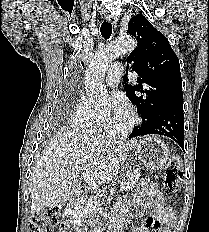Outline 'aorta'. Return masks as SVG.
Segmentation results:
<instances>
[{
  "label": "aorta",
  "instance_id": "aorta-1",
  "mask_svg": "<svg viewBox=\"0 0 209 232\" xmlns=\"http://www.w3.org/2000/svg\"><path fill=\"white\" fill-rule=\"evenodd\" d=\"M136 46V40L130 36L117 38L104 49L99 50L89 63L85 76V90L96 110H105L109 106V94L104 85V77L109 65L114 59L131 52ZM95 232H104V228L100 225Z\"/></svg>",
  "mask_w": 209,
  "mask_h": 232
}]
</instances>
